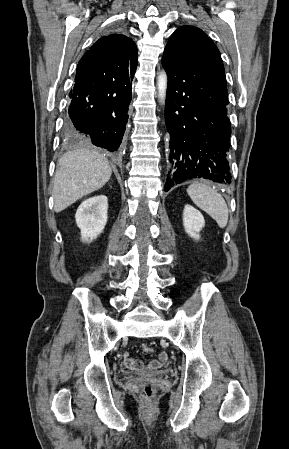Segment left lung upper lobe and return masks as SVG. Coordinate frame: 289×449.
<instances>
[{
  "mask_svg": "<svg viewBox=\"0 0 289 449\" xmlns=\"http://www.w3.org/2000/svg\"><path fill=\"white\" fill-rule=\"evenodd\" d=\"M164 55L199 68L227 92L220 52L213 41L199 28L193 26L178 28L171 35Z\"/></svg>",
  "mask_w": 289,
  "mask_h": 449,
  "instance_id": "obj_1",
  "label": "left lung upper lobe"
}]
</instances>
